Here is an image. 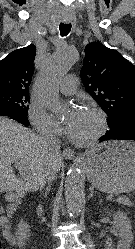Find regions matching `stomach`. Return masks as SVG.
Masks as SVG:
<instances>
[{
  "label": "stomach",
  "mask_w": 135,
  "mask_h": 249,
  "mask_svg": "<svg viewBox=\"0 0 135 249\" xmlns=\"http://www.w3.org/2000/svg\"><path fill=\"white\" fill-rule=\"evenodd\" d=\"M89 181L109 193L135 190V142L109 141L84 154Z\"/></svg>",
  "instance_id": "obj_1"
}]
</instances>
